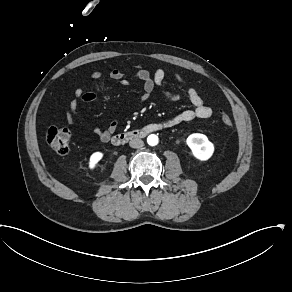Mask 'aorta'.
<instances>
[{
	"instance_id": "obj_1",
	"label": "aorta",
	"mask_w": 292,
	"mask_h": 292,
	"mask_svg": "<svg viewBox=\"0 0 292 292\" xmlns=\"http://www.w3.org/2000/svg\"><path fill=\"white\" fill-rule=\"evenodd\" d=\"M147 142H148L149 145L155 146V145L158 144L159 139H158V137L156 135L152 134V135L148 136Z\"/></svg>"
}]
</instances>
